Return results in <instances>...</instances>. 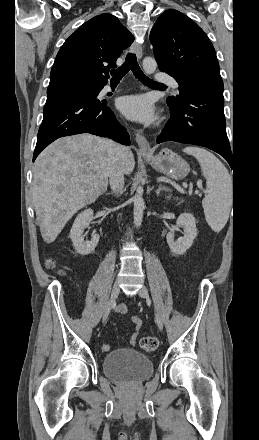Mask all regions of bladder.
Returning <instances> with one entry per match:
<instances>
[{"label":"bladder","instance_id":"1","mask_svg":"<svg viewBox=\"0 0 259 440\" xmlns=\"http://www.w3.org/2000/svg\"><path fill=\"white\" fill-rule=\"evenodd\" d=\"M104 375L121 384L133 385L148 380L154 371L151 359L133 349H118L102 360Z\"/></svg>","mask_w":259,"mask_h":440}]
</instances>
